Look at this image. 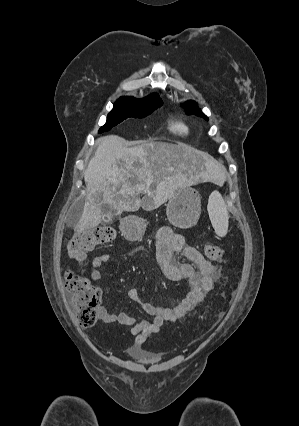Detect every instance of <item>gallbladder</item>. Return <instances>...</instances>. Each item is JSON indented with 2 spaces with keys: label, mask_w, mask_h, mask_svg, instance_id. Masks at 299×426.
<instances>
[{
  "label": "gallbladder",
  "mask_w": 299,
  "mask_h": 426,
  "mask_svg": "<svg viewBox=\"0 0 299 426\" xmlns=\"http://www.w3.org/2000/svg\"><path fill=\"white\" fill-rule=\"evenodd\" d=\"M101 211H102V215L104 217L103 223H105V224L111 223L113 214L115 213V210L109 205H102Z\"/></svg>",
  "instance_id": "bac80fb5"
}]
</instances>
